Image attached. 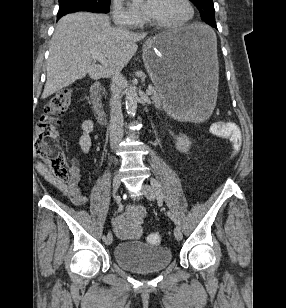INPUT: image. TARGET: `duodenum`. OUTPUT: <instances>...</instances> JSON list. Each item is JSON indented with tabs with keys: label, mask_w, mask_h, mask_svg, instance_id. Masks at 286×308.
I'll return each instance as SVG.
<instances>
[{
	"label": "duodenum",
	"mask_w": 286,
	"mask_h": 308,
	"mask_svg": "<svg viewBox=\"0 0 286 308\" xmlns=\"http://www.w3.org/2000/svg\"><path fill=\"white\" fill-rule=\"evenodd\" d=\"M101 84L99 82H95L90 87V99L92 103V108L95 113L97 120L101 123L105 122V115L102 108V105L99 100V93L101 91Z\"/></svg>",
	"instance_id": "1"
}]
</instances>
